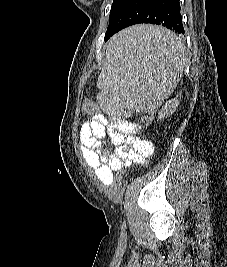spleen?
Here are the masks:
<instances>
[{
	"instance_id": "spleen-1",
	"label": "spleen",
	"mask_w": 227,
	"mask_h": 267,
	"mask_svg": "<svg viewBox=\"0 0 227 267\" xmlns=\"http://www.w3.org/2000/svg\"><path fill=\"white\" fill-rule=\"evenodd\" d=\"M121 29L112 42H107L108 63L99 82L97 105L104 115H143L155 106L132 110L131 103H160L176 88L182 76L185 59L182 41L157 22H135ZM125 106V110H117Z\"/></svg>"
}]
</instances>
